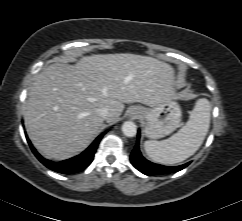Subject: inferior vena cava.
Masks as SVG:
<instances>
[{
    "label": "inferior vena cava",
    "mask_w": 242,
    "mask_h": 221,
    "mask_svg": "<svg viewBox=\"0 0 242 221\" xmlns=\"http://www.w3.org/2000/svg\"><path fill=\"white\" fill-rule=\"evenodd\" d=\"M99 115L104 119H108L109 115H110V112L108 110V108L106 107H102L99 109Z\"/></svg>",
    "instance_id": "obj_1"
}]
</instances>
